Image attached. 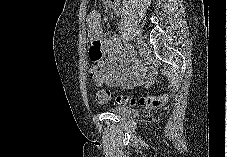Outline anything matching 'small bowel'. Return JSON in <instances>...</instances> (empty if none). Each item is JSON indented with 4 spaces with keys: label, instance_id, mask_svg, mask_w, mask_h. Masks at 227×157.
<instances>
[{
    "label": "small bowel",
    "instance_id": "obj_1",
    "mask_svg": "<svg viewBox=\"0 0 227 157\" xmlns=\"http://www.w3.org/2000/svg\"><path fill=\"white\" fill-rule=\"evenodd\" d=\"M108 2L112 7V1L108 0ZM116 4L119 9V0ZM87 24L91 42L88 46V58H91V62H101L99 64L102 69L101 74L92 78L96 84L130 87L151 80L152 70L139 65L129 46L119 49L115 39L104 37L101 14L98 11L89 13Z\"/></svg>",
    "mask_w": 227,
    "mask_h": 157
}]
</instances>
